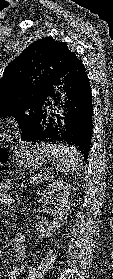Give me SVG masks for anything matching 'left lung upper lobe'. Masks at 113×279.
<instances>
[{
    "label": "left lung upper lobe",
    "instance_id": "obj_1",
    "mask_svg": "<svg viewBox=\"0 0 113 279\" xmlns=\"http://www.w3.org/2000/svg\"><path fill=\"white\" fill-rule=\"evenodd\" d=\"M73 52L52 37L38 39L8 64L0 78V118L13 116L25 134L33 126L34 111L43 92Z\"/></svg>",
    "mask_w": 113,
    "mask_h": 279
}]
</instances>
